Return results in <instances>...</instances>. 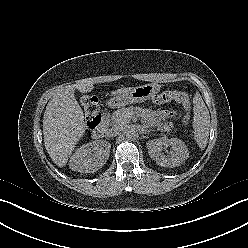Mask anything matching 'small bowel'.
Instances as JSON below:
<instances>
[{"mask_svg":"<svg viewBox=\"0 0 248 248\" xmlns=\"http://www.w3.org/2000/svg\"><path fill=\"white\" fill-rule=\"evenodd\" d=\"M161 116H162L163 118H167V117L170 116V113L167 112V111H163V112L161 113Z\"/></svg>","mask_w":248,"mask_h":248,"instance_id":"c3829d8e","label":"small bowel"}]
</instances>
